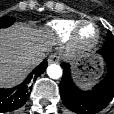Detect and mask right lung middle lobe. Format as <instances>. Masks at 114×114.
Returning <instances> with one entry per match:
<instances>
[{
	"mask_svg": "<svg viewBox=\"0 0 114 114\" xmlns=\"http://www.w3.org/2000/svg\"><path fill=\"white\" fill-rule=\"evenodd\" d=\"M14 22V19H10L8 17L0 18V28H6L10 26Z\"/></svg>",
	"mask_w": 114,
	"mask_h": 114,
	"instance_id": "obj_1",
	"label": "right lung middle lobe"
}]
</instances>
